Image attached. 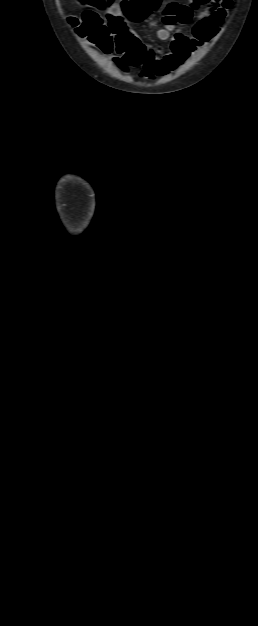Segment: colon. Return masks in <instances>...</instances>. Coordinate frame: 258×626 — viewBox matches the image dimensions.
<instances>
[{
    "label": "colon",
    "instance_id": "colon-1",
    "mask_svg": "<svg viewBox=\"0 0 258 626\" xmlns=\"http://www.w3.org/2000/svg\"><path fill=\"white\" fill-rule=\"evenodd\" d=\"M84 6L91 9L86 10L81 19L71 17V22L77 27V31L87 37L92 43L99 46L105 52L110 50V37L108 30L103 25L100 16L96 10H105L112 8L116 0H77ZM160 4V0H125L122 2L124 9L128 11L131 19L138 21L155 10ZM143 56L142 50L139 48L136 53L134 62L137 64Z\"/></svg>",
    "mask_w": 258,
    "mask_h": 626
}]
</instances>
